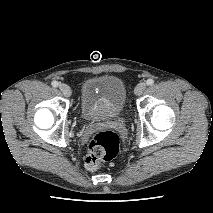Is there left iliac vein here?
<instances>
[{"label":"left iliac vein","mask_w":213,"mask_h":213,"mask_svg":"<svg viewBox=\"0 0 213 213\" xmlns=\"http://www.w3.org/2000/svg\"><path fill=\"white\" fill-rule=\"evenodd\" d=\"M146 88V84L144 82L139 83L134 90L136 95H141Z\"/></svg>","instance_id":"left-iliac-vein-1"}]
</instances>
